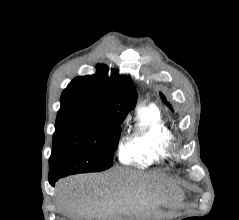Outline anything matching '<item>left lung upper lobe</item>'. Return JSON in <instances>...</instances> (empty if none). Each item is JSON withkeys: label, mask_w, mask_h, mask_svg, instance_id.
Masks as SVG:
<instances>
[{"label": "left lung upper lobe", "mask_w": 239, "mask_h": 220, "mask_svg": "<svg viewBox=\"0 0 239 220\" xmlns=\"http://www.w3.org/2000/svg\"><path fill=\"white\" fill-rule=\"evenodd\" d=\"M160 97H161V100L170 108V110L172 112H174L173 106L170 104V102H168V100L165 97V95H163V93H161V92H160Z\"/></svg>", "instance_id": "left-lung-upper-lobe-1"}]
</instances>
